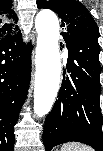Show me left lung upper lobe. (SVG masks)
<instances>
[{
  "instance_id": "1",
  "label": "left lung upper lobe",
  "mask_w": 103,
  "mask_h": 151,
  "mask_svg": "<svg viewBox=\"0 0 103 151\" xmlns=\"http://www.w3.org/2000/svg\"><path fill=\"white\" fill-rule=\"evenodd\" d=\"M38 8L51 9L61 18L65 34L98 39V26L85 6L77 0H37Z\"/></svg>"
}]
</instances>
